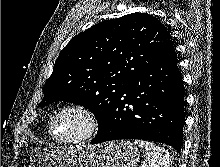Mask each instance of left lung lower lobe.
Wrapping results in <instances>:
<instances>
[{
  "instance_id": "left-lung-lower-lobe-1",
  "label": "left lung lower lobe",
  "mask_w": 220,
  "mask_h": 167,
  "mask_svg": "<svg viewBox=\"0 0 220 167\" xmlns=\"http://www.w3.org/2000/svg\"><path fill=\"white\" fill-rule=\"evenodd\" d=\"M175 51L128 81L91 144L143 139L181 151L184 89Z\"/></svg>"
}]
</instances>
